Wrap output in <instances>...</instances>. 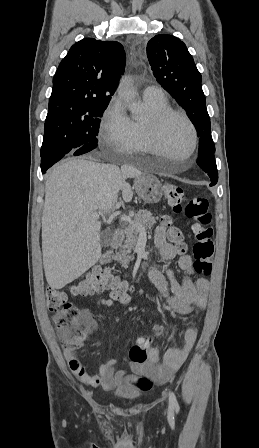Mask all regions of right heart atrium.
Wrapping results in <instances>:
<instances>
[{"instance_id":"right-heart-atrium-1","label":"right heart atrium","mask_w":259,"mask_h":448,"mask_svg":"<svg viewBox=\"0 0 259 448\" xmlns=\"http://www.w3.org/2000/svg\"><path fill=\"white\" fill-rule=\"evenodd\" d=\"M98 142L114 157H127L131 150L132 135L121 100L116 96L108 105L98 129Z\"/></svg>"}]
</instances>
